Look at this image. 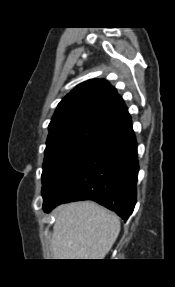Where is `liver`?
Instances as JSON below:
<instances>
[{
    "label": "liver",
    "mask_w": 175,
    "mask_h": 287,
    "mask_svg": "<svg viewBox=\"0 0 175 287\" xmlns=\"http://www.w3.org/2000/svg\"><path fill=\"white\" fill-rule=\"evenodd\" d=\"M54 215V259H104L120 232L119 217L95 202L61 205Z\"/></svg>",
    "instance_id": "6515ba94"
}]
</instances>
